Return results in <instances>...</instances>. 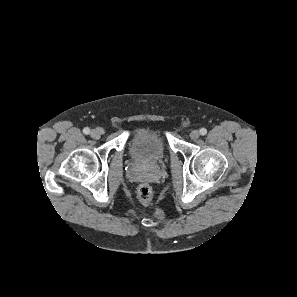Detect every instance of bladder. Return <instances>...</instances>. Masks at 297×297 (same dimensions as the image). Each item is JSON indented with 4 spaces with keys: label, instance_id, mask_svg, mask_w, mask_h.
<instances>
[{
    "label": "bladder",
    "instance_id": "bladder-1",
    "mask_svg": "<svg viewBox=\"0 0 297 297\" xmlns=\"http://www.w3.org/2000/svg\"><path fill=\"white\" fill-rule=\"evenodd\" d=\"M128 153L130 158L140 165H157L166 156L165 140L157 129L137 127L129 137Z\"/></svg>",
    "mask_w": 297,
    "mask_h": 297
}]
</instances>
